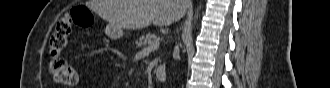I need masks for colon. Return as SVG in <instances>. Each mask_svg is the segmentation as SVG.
<instances>
[{"label": "colon", "instance_id": "5ec220e1", "mask_svg": "<svg viewBox=\"0 0 330 88\" xmlns=\"http://www.w3.org/2000/svg\"><path fill=\"white\" fill-rule=\"evenodd\" d=\"M92 22V15L82 6L72 8L57 21L55 30L49 38V72L57 83L65 86H73L77 83V71L61 56V53L68 45V37L73 31V24L86 28Z\"/></svg>", "mask_w": 330, "mask_h": 88}]
</instances>
